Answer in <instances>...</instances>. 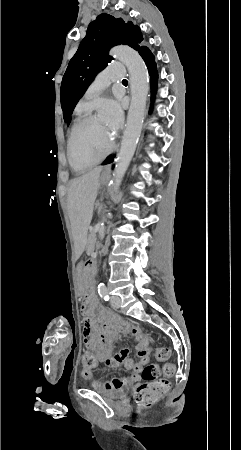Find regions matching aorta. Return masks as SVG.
Returning <instances> with one entry per match:
<instances>
[{"label": "aorta", "instance_id": "aorta-1", "mask_svg": "<svg viewBox=\"0 0 241 450\" xmlns=\"http://www.w3.org/2000/svg\"><path fill=\"white\" fill-rule=\"evenodd\" d=\"M111 55L123 62L130 75L131 103L118 159L113 174V191L120 186L139 141L148 95V72L141 56L128 46L114 47Z\"/></svg>", "mask_w": 241, "mask_h": 450}]
</instances>
